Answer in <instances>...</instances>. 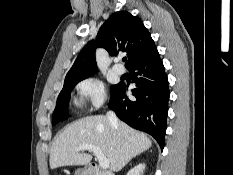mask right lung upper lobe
<instances>
[{
    "label": "right lung upper lobe",
    "instance_id": "1",
    "mask_svg": "<svg viewBox=\"0 0 233 175\" xmlns=\"http://www.w3.org/2000/svg\"><path fill=\"white\" fill-rule=\"evenodd\" d=\"M102 47L110 55L127 52L126 68L151 56L157 51L150 33L143 22L127 11L112 14L101 26L96 41H90L81 50L65 81L86 78L97 72L95 49Z\"/></svg>",
    "mask_w": 233,
    "mask_h": 175
}]
</instances>
